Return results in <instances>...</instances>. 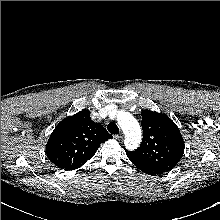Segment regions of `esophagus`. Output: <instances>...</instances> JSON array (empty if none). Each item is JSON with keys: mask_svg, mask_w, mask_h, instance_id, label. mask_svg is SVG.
<instances>
[{"mask_svg": "<svg viewBox=\"0 0 220 220\" xmlns=\"http://www.w3.org/2000/svg\"><path fill=\"white\" fill-rule=\"evenodd\" d=\"M114 137L117 140H122L124 138V135H123V133H119V134L115 135Z\"/></svg>", "mask_w": 220, "mask_h": 220, "instance_id": "34e87169", "label": "esophagus"}]
</instances>
